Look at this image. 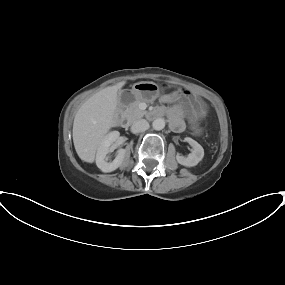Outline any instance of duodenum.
Segmentation results:
<instances>
[{
  "label": "duodenum",
  "mask_w": 285,
  "mask_h": 285,
  "mask_svg": "<svg viewBox=\"0 0 285 285\" xmlns=\"http://www.w3.org/2000/svg\"><path fill=\"white\" fill-rule=\"evenodd\" d=\"M159 114H160V111H158V110H153V111L147 112V113H146V116H147L148 118H156ZM123 123H124V125H127V122H126V121H124Z\"/></svg>",
  "instance_id": "obj_1"
}]
</instances>
